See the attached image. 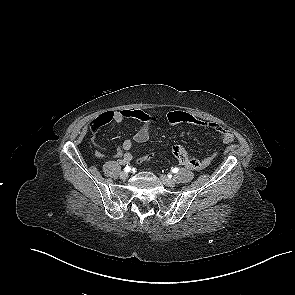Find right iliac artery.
Returning <instances> with one entry per match:
<instances>
[{"label": "right iliac artery", "mask_w": 295, "mask_h": 295, "mask_svg": "<svg viewBox=\"0 0 295 295\" xmlns=\"http://www.w3.org/2000/svg\"><path fill=\"white\" fill-rule=\"evenodd\" d=\"M124 171H125V172H130V171H131V167L126 166V167L124 168Z\"/></svg>", "instance_id": "82829eb1"}]
</instances>
